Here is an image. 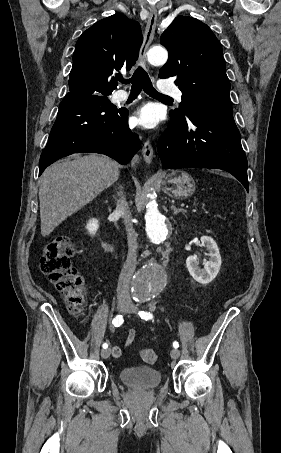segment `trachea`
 <instances>
[{
  "instance_id": "3493384b",
  "label": "trachea",
  "mask_w": 281,
  "mask_h": 453,
  "mask_svg": "<svg viewBox=\"0 0 281 453\" xmlns=\"http://www.w3.org/2000/svg\"><path fill=\"white\" fill-rule=\"evenodd\" d=\"M118 80L122 83H131V95L130 97L136 98V96L141 92L143 89L145 93L150 96L154 97H167V95H163L162 93H158L155 88L152 86V82L142 67H137L136 71L132 75L131 78L125 80L122 77H119ZM169 98V97H167Z\"/></svg>"
}]
</instances>
